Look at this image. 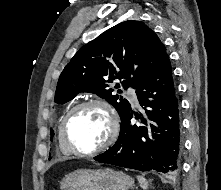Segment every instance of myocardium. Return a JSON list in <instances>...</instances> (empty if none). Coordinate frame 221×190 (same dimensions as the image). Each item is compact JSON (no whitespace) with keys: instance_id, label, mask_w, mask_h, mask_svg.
<instances>
[{"instance_id":"myocardium-1","label":"myocardium","mask_w":221,"mask_h":190,"mask_svg":"<svg viewBox=\"0 0 221 190\" xmlns=\"http://www.w3.org/2000/svg\"><path fill=\"white\" fill-rule=\"evenodd\" d=\"M91 105L101 106L108 113L109 119H110L109 134H108L106 140L102 144H100L99 146H97L93 149H90V150H83V149L77 148L70 141V138L67 133L68 124L70 122L71 117L74 115L75 112H77L79 109H81L83 107L91 106ZM119 130H120V122H119V117H118V114H117L115 108L108 100L102 99V98L87 99V100L81 101L78 104L74 105L64 115V117L60 123V128H59L61 140L64 143V145L67 147V149L72 154L79 155V156H92V155H95V154L105 151L116 141L118 134H119Z\"/></svg>"}]
</instances>
